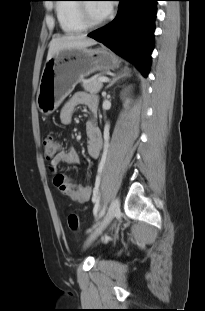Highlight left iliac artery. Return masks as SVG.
<instances>
[{"label": "left iliac artery", "instance_id": "44dca946", "mask_svg": "<svg viewBox=\"0 0 205 311\" xmlns=\"http://www.w3.org/2000/svg\"><path fill=\"white\" fill-rule=\"evenodd\" d=\"M100 184V176L98 175L97 178H96V189H98V185ZM95 202V210H98L99 208V199H95L94 200ZM105 211H106V206H104L101 211L99 212V218L102 217L104 214H105Z\"/></svg>", "mask_w": 205, "mask_h": 311}]
</instances>
